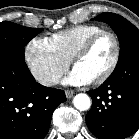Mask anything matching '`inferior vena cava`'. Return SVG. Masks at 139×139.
I'll return each mask as SVG.
<instances>
[{"mask_svg": "<svg viewBox=\"0 0 139 139\" xmlns=\"http://www.w3.org/2000/svg\"><path fill=\"white\" fill-rule=\"evenodd\" d=\"M38 81L44 86H51L58 82V76L52 73H44L38 77Z\"/></svg>", "mask_w": 139, "mask_h": 139, "instance_id": "1", "label": "inferior vena cava"}]
</instances>
